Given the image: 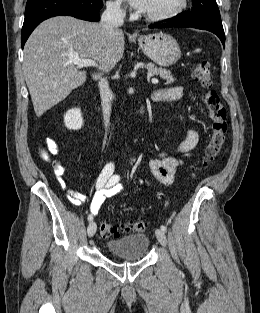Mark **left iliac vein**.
I'll return each instance as SVG.
<instances>
[{
  "label": "left iliac vein",
  "mask_w": 260,
  "mask_h": 313,
  "mask_svg": "<svg viewBox=\"0 0 260 313\" xmlns=\"http://www.w3.org/2000/svg\"><path fill=\"white\" fill-rule=\"evenodd\" d=\"M155 233H156V237H157L159 243L162 246H166L167 239H166L165 232L163 230H161V229H156Z\"/></svg>",
  "instance_id": "4c4485c4"
}]
</instances>
